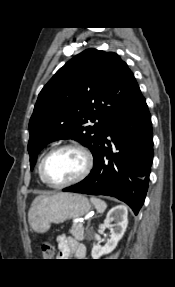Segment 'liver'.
I'll return each mask as SVG.
<instances>
[{
  "label": "liver",
  "mask_w": 175,
  "mask_h": 287,
  "mask_svg": "<svg viewBox=\"0 0 175 287\" xmlns=\"http://www.w3.org/2000/svg\"><path fill=\"white\" fill-rule=\"evenodd\" d=\"M45 196L44 195H39L37 196L33 202H32V205L36 204L37 202H39L40 200H42Z\"/></svg>",
  "instance_id": "6515ba94"
}]
</instances>
